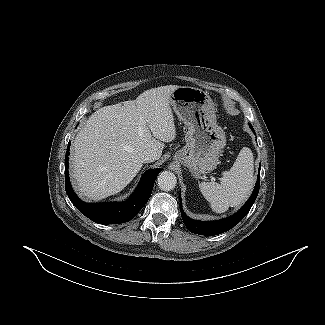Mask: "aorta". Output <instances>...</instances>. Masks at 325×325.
<instances>
[{
  "label": "aorta",
  "instance_id": "aorta-1",
  "mask_svg": "<svg viewBox=\"0 0 325 325\" xmlns=\"http://www.w3.org/2000/svg\"><path fill=\"white\" fill-rule=\"evenodd\" d=\"M158 187L163 191L173 190L177 184L174 173L170 171H162L157 178Z\"/></svg>",
  "mask_w": 325,
  "mask_h": 325
}]
</instances>
